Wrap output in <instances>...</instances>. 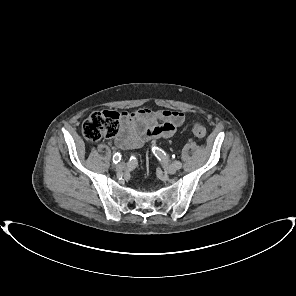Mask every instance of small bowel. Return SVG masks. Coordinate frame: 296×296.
Masks as SVG:
<instances>
[{
  "instance_id": "small-bowel-1",
  "label": "small bowel",
  "mask_w": 296,
  "mask_h": 296,
  "mask_svg": "<svg viewBox=\"0 0 296 296\" xmlns=\"http://www.w3.org/2000/svg\"><path fill=\"white\" fill-rule=\"evenodd\" d=\"M184 122L185 115L174 110L141 108L123 112L115 144L119 148H139L148 141L174 136Z\"/></svg>"
}]
</instances>
